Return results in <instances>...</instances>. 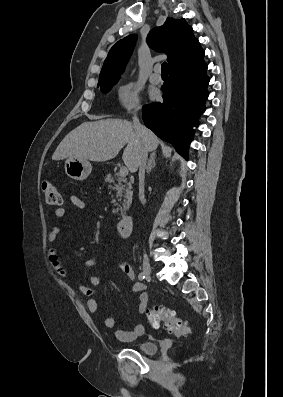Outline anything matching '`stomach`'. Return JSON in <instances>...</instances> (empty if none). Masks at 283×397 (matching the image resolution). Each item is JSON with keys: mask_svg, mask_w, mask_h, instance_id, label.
<instances>
[{"mask_svg": "<svg viewBox=\"0 0 283 397\" xmlns=\"http://www.w3.org/2000/svg\"><path fill=\"white\" fill-rule=\"evenodd\" d=\"M92 171V166L88 160L69 157L65 161V173L74 180L82 181L86 179Z\"/></svg>", "mask_w": 283, "mask_h": 397, "instance_id": "0dacf381", "label": "stomach"}]
</instances>
